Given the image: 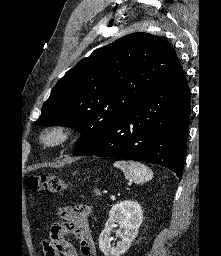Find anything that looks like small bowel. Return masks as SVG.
Masks as SVG:
<instances>
[{
    "label": "small bowel",
    "instance_id": "c3829d8e",
    "mask_svg": "<svg viewBox=\"0 0 221 256\" xmlns=\"http://www.w3.org/2000/svg\"><path fill=\"white\" fill-rule=\"evenodd\" d=\"M90 212L89 206L61 208L59 214L63 222L51 226L48 238L42 244L44 256H96L88 223ZM68 235L78 239L80 254L67 239Z\"/></svg>",
    "mask_w": 221,
    "mask_h": 256
}]
</instances>
